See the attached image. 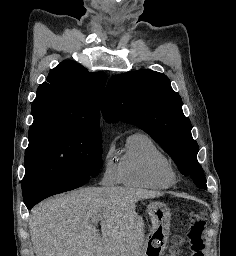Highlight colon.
Returning <instances> with one entry per match:
<instances>
[{
  "label": "colon",
  "mask_w": 236,
  "mask_h": 256,
  "mask_svg": "<svg viewBox=\"0 0 236 256\" xmlns=\"http://www.w3.org/2000/svg\"><path fill=\"white\" fill-rule=\"evenodd\" d=\"M190 227L188 230V241L191 256H205L203 233L206 228V208L197 207L189 212Z\"/></svg>",
  "instance_id": "5ec220e1"
}]
</instances>
